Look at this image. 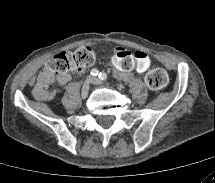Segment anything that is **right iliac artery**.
Here are the masks:
<instances>
[{
  "label": "right iliac artery",
  "mask_w": 215,
  "mask_h": 183,
  "mask_svg": "<svg viewBox=\"0 0 215 183\" xmlns=\"http://www.w3.org/2000/svg\"><path fill=\"white\" fill-rule=\"evenodd\" d=\"M90 73L93 76H97L98 75V70L97 69H92Z\"/></svg>",
  "instance_id": "1"
}]
</instances>
